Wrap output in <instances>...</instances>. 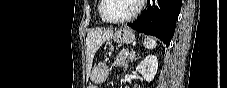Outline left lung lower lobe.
<instances>
[{
	"mask_svg": "<svg viewBox=\"0 0 227 88\" xmlns=\"http://www.w3.org/2000/svg\"><path fill=\"white\" fill-rule=\"evenodd\" d=\"M182 0H153V6L127 25L138 32L158 37L168 47L174 35Z\"/></svg>",
	"mask_w": 227,
	"mask_h": 88,
	"instance_id": "obj_1",
	"label": "left lung lower lobe"
}]
</instances>
